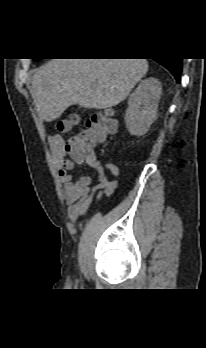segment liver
Here are the masks:
<instances>
[{"mask_svg": "<svg viewBox=\"0 0 206 348\" xmlns=\"http://www.w3.org/2000/svg\"><path fill=\"white\" fill-rule=\"evenodd\" d=\"M147 71L146 59H51L35 70L32 97L42 118L51 122L71 105H118Z\"/></svg>", "mask_w": 206, "mask_h": 348, "instance_id": "liver-1", "label": "liver"}]
</instances>
